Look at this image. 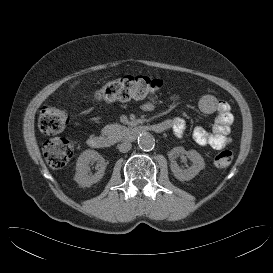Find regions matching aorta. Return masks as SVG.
Instances as JSON below:
<instances>
[{
  "mask_svg": "<svg viewBox=\"0 0 273 273\" xmlns=\"http://www.w3.org/2000/svg\"><path fill=\"white\" fill-rule=\"evenodd\" d=\"M138 146L144 151H150L155 146V139L151 134H142L138 138Z\"/></svg>",
  "mask_w": 273,
  "mask_h": 273,
  "instance_id": "762f6f07",
  "label": "aorta"
}]
</instances>
